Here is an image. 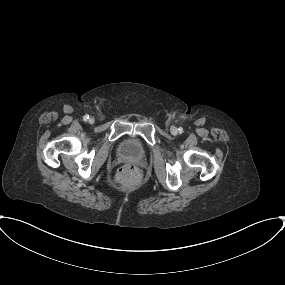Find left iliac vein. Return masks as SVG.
I'll return each mask as SVG.
<instances>
[{
    "mask_svg": "<svg viewBox=\"0 0 285 285\" xmlns=\"http://www.w3.org/2000/svg\"><path fill=\"white\" fill-rule=\"evenodd\" d=\"M171 132H172L173 134H177V132H178V131H177V128L173 126V127L171 128Z\"/></svg>",
    "mask_w": 285,
    "mask_h": 285,
    "instance_id": "4c4485c4",
    "label": "left iliac vein"
}]
</instances>
